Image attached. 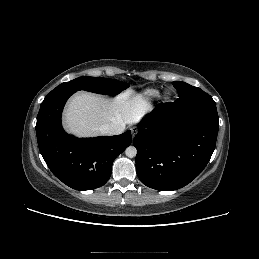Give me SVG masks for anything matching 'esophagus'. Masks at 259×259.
Instances as JSON below:
<instances>
[{
    "mask_svg": "<svg viewBox=\"0 0 259 259\" xmlns=\"http://www.w3.org/2000/svg\"><path fill=\"white\" fill-rule=\"evenodd\" d=\"M137 132H138V128L137 127L134 126V127L131 128L132 137H135Z\"/></svg>",
    "mask_w": 259,
    "mask_h": 259,
    "instance_id": "esophagus-1",
    "label": "esophagus"
}]
</instances>
